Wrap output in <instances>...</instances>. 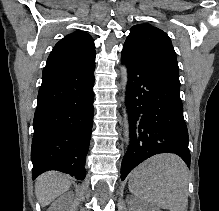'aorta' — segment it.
Wrapping results in <instances>:
<instances>
[{
    "mask_svg": "<svg viewBox=\"0 0 219 211\" xmlns=\"http://www.w3.org/2000/svg\"><path fill=\"white\" fill-rule=\"evenodd\" d=\"M128 84V72L126 65H122L120 67V89L122 91V102H123V108H122V118H121V125H122V131H123V142L125 144V147H129L130 145V128H129V121H128V113L126 106L124 104L125 96H126V88Z\"/></svg>",
    "mask_w": 219,
    "mask_h": 211,
    "instance_id": "762f6f07",
    "label": "aorta"
}]
</instances>
